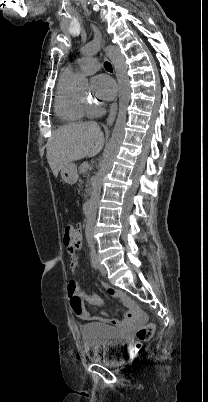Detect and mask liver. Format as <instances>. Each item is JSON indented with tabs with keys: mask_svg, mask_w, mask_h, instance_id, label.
<instances>
[{
	"mask_svg": "<svg viewBox=\"0 0 208 402\" xmlns=\"http://www.w3.org/2000/svg\"><path fill=\"white\" fill-rule=\"evenodd\" d=\"M104 142V134L96 122L61 126L51 136L47 146V160L53 176L58 178L61 168L71 162L82 160L85 156L93 158L101 152Z\"/></svg>",
	"mask_w": 208,
	"mask_h": 402,
	"instance_id": "1",
	"label": "liver"
}]
</instances>
